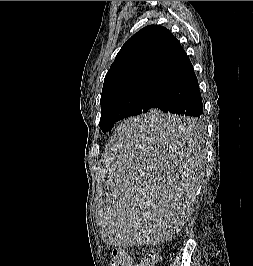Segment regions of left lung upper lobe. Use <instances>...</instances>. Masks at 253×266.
Instances as JSON below:
<instances>
[{"mask_svg": "<svg viewBox=\"0 0 253 266\" xmlns=\"http://www.w3.org/2000/svg\"><path fill=\"white\" fill-rule=\"evenodd\" d=\"M174 38L165 27L149 25L128 39L108 70L101 94L100 129L142 113L153 73Z\"/></svg>", "mask_w": 253, "mask_h": 266, "instance_id": "left-lung-upper-lobe-1", "label": "left lung upper lobe"}]
</instances>
